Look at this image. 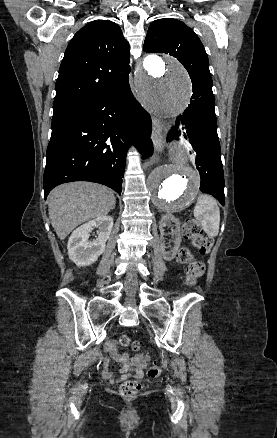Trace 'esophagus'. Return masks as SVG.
I'll list each match as a JSON object with an SVG mask.
<instances>
[{"instance_id": "esophagus-1", "label": "esophagus", "mask_w": 277, "mask_h": 438, "mask_svg": "<svg viewBox=\"0 0 277 438\" xmlns=\"http://www.w3.org/2000/svg\"><path fill=\"white\" fill-rule=\"evenodd\" d=\"M139 70L138 72L142 71V67L138 65ZM152 119V133H151V139L153 141V144L157 151L163 150V142H164V135L162 134L163 130V122L156 118L151 117Z\"/></svg>"}]
</instances>
